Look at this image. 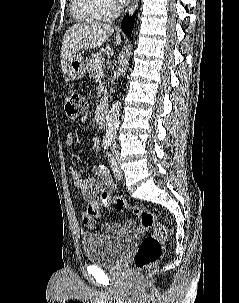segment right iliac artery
<instances>
[{
	"instance_id": "right-iliac-artery-1",
	"label": "right iliac artery",
	"mask_w": 239,
	"mask_h": 303,
	"mask_svg": "<svg viewBox=\"0 0 239 303\" xmlns=\"http://www.w3.org/2000/svg\"><path fill=\"white\" fill-rule=\"evenodd\" d=\"M103 146H104V149H108L109 146H111V142H109V141H104V142H103Z\"/></svg>"
}]
</instances>
